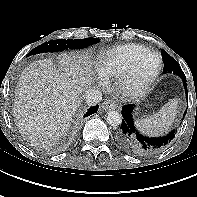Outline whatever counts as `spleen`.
Listing matches in <instances>:
<instances>
[{
	"label": "spleen",
	"mask_w": 197,
	"mask_h": 197,
	"mask_svg": "<svg viewBox=\"0 0 197 197\" xmlns=\"http://www.w3.org/2000/svg\"><path fill=\"white\" fill-rule=\"evenodd\" d=\"M178 101L173 99L166 103L157 113L136 121V126L145 134L158 136L166 132L177 115Z\"/></svg>",
	"instance_id": "obj_1"
}]
</instances>
